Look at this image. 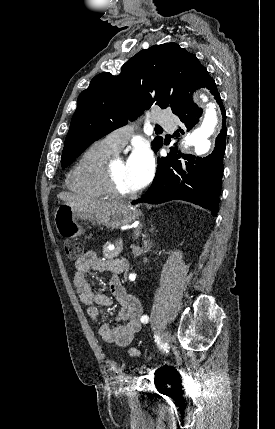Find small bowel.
<instances>
[{"label": "small bowel", "mask_w": 275, "mask_h": 429, "mask_svg": "<svg viewBox=\"0 0 275 429\" xmlns=\"http://www.w3.org/2000/svg\"><path fill=\"white\" fill-rule=\"evenodd\" d=\"M118 262L117 260H103L98 258L94 252L88 251L75 263L73 282L80 300L88 307L87 313L90 320L98 324V332L102 339L117 347H126L141 327L140 317L143 310L139 299L127 293L116 275L112 276L109 283L112 297L97 293L87 277L89 271H110L115 273ZM113 300H116L120 305L116 315V320L120 323L118 326H112L108 321L100 323L102 318L100 308L109 307L112 305ZM129 353L131 356L139 354L135 348H131Z\"/></svg>", "instance_id": "obj_1"}]
</instances>
